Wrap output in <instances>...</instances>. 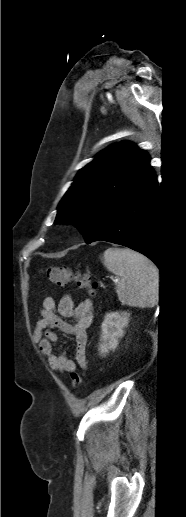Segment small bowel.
Instances as JSON below:
<instances>
[{"instance_id": "small-bowel-1", "label": "small bowel", "mask_w": 186, "mask_h": 517, "mask_svg": "<svg viewBox=\"0 0 186 517\" xmlns=\"http://www.w3.org/2000/svg\"><path fill=\"white\" fill-rule=\"evenodd\" d=\"M40 315L33 336L39 344L40 352L47 358L50 369L64 373L74 371L77 365L86 368V330L93 319L92 301L85 299L75 305L72 296L66 294L56 304L53 298L47 297L43 301ZM64 319H72L73 322ZM56 331L74 337L75 360L68 358L64 352H54L53 345L58 341Z\"/></svg>"}]
</instances>
